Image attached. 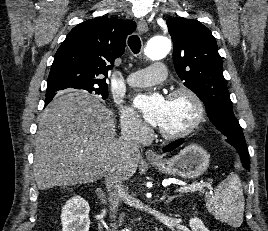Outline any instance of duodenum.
<instances>
[{
    "label": "duodenum",
    "instance_id": "1",
    "mask_svg": "<svg viewBox=\"0 0 268 231\" xmlns=\"http://www.w3.org/2000/svg\"><path fill=\"white\" fill-rule=\"evenodd\" d=\"M101 198H102V199H106V195H102Z\"/></svg>",
    "mask_w": 268,
    "mask_h": 231
}]
</instances>
